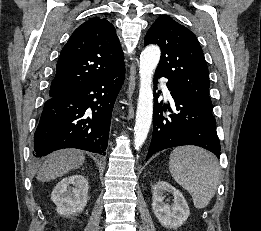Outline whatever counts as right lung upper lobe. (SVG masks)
<instances>
[{"label":"right lung upper lobe","instance_id":"1","mask_svg":"<svg viewBox=\"0 0 261 231\" xmlns=\"http://www.w3.org/2000/svg\"><path fill=\"white\" fill-rule=\"evenodd\" d=\"M114 26L94 17L80 25L63 47L49 96H62L124 65Z\"/></svg>","mask_w":261,"mask_h":231}]
</instances>
